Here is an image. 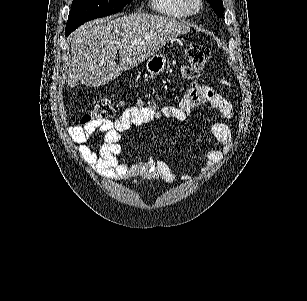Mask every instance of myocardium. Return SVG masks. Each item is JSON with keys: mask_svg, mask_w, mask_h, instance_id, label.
<instances>
[{"mask_svg": "<svg viewBox=\"0 0 307 301\" xmlns=\"http://www.w3.org/2000/svg\"><path fill=\"white\" fill-rule=\"evenodd\" d=\"M186 5V15H199L203 11L204 2L201 0H184Z\"/></svg>", "mask_w": 307, "mask_h": 301, "instance_id": "1", "label": "myocardium"}]
</instances>
